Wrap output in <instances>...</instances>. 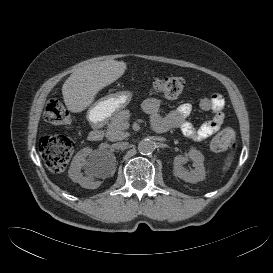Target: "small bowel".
I'll return each mask as SVG.
<instances>
[{
  "label": "small bowel",
  "instance_id": "obj_1",
  "mask_svg": "<svg viewBox=\"0 0 273 273\" xmlns=\"http://www.w3.org/2000/svg\"><path fill=\"white\" fill-rule=\"evenodd\" d=\"M224 105V97L219 93H213L208 97L202 98L199 103L200 108L203 111H212L213 116L200 126H195L189 121L191 106L186 103L177 107L164 118H160L161 101L157 98L146 99L143 102V109L150 115L152 121L160 118L165 121L168 128H178L187 137L201 141L210 137L222 127L224 122Z\"/></svg>",
  "mask_w": 273,
  "mask_h": 273
}]
</instances>
